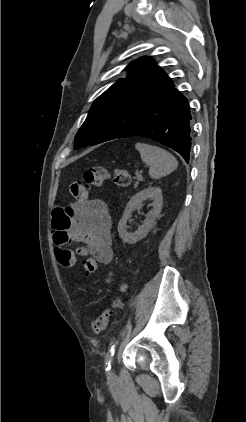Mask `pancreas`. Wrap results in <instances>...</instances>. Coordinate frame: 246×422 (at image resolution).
Wrapping results in <instances>:
<instances>
[{
  "mask_svg": "<svg viewBox=\"0 0 246 422\" xmlns=\"http://www.w3.org/2000/svg\"><path fill=\"white\" fill-rule=\"evenodd\" d=\"M136 179H137V181H136V183H135V186H137V185L139 184V181H141V180H142V177H141L140 175H137V176H136Z\"/></svg>",
  "mask_w": 246,
  "mask_h": 422,
  "instance_id": "pancreas-1",
  "label": "pancreas"
}]
</instances>
